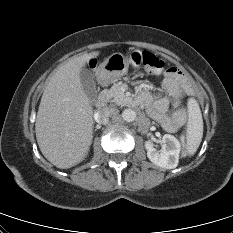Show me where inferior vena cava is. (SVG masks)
Listing matches in <instances>:
<instances>
[{"instance_id": "602c4592", "label": "inferior vena cava", "mask_w": 233, "mask_h": 233, "mask_svg": "<svg viewBox=\"0 0 233 233\" xmlns=\"http://www.w3.org/2000/svg\"><path fill=\"white\" fill-rule=\"evenodd\" d=\"M112 111L108 107H104L97 111L95 114V120L100 124H107Z\"/></svg>"}]
</instances>
